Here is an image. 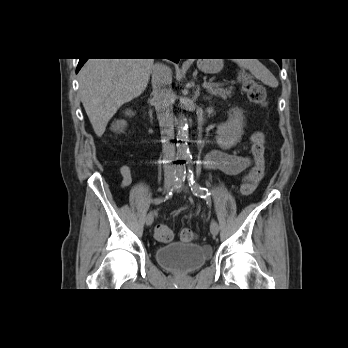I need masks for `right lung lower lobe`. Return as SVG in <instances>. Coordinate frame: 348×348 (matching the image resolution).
Here are the masks:
<instances>
[{
  "instance_id": "1",
  "label": "right lung lower lobe",
  "mask_w": 348,
  "mask_h": 348,
  "mask_svg": "<svg viewBox=\"0 0 348 348\" xmlns=\"http://www.w3.org/2000/svg\"><path fill=\"white\" fill-rule=\"evenodd\" d=\"M170 60H172V61H174V62H178V61H179V59H170ZM86 61H87V59H79V63H78L76 72H78V71L81 69V67L84 65V63H85Z\"/></svg>"
}]
</instances>
